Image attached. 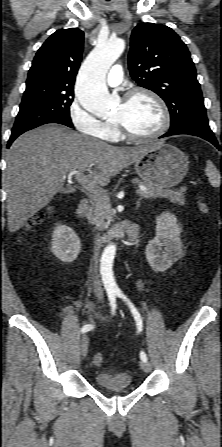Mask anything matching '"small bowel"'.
Returning <instances> with one entry per match:
<instances>
[{"label":"small bowel","mask_w":222,"mask_h":447,"mask_svg":"<svg viewBox=\"0 0 222 447\" xmlns=\"http://www.w3.org/2000/svg\"><path fill=\"white\" fill-rule=\"evenodd\" d=\"M143 286H144V282L141 281L139 283V287L142 288ZM79 309H82L85 313L92 314V315H94L97 318H101V319H105L106 318V316H102L101 315V313L95 307L93 302H91V301H79V300L72 301L71 307L68 308L67 311H65L63 313H60L59 316H62L66 312H72V311H76V310H79Z\"/></svg>","instance_id":"1"}]
</instances>
